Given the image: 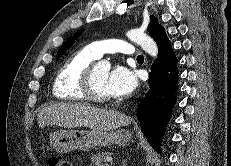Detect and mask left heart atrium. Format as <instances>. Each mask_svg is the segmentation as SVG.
Instances as JSON below:
<instances>
[{
    "label": "left heart atrium",
    "instance_id": "39dd6f15",
    "mask_svg": "<svg viewBox=\"0 0 231 166\" xmlns=\"http://www.w3.org/2000/svg\"><path fill=\"white\" fill-rule=\"evenodd\" d=\"M137 86V75L125 66H115L107 76L106 89L110 96H129Z\"/></svg>",
    "mask_w": 231,
    "mask_h": 166
}]
</instances>
